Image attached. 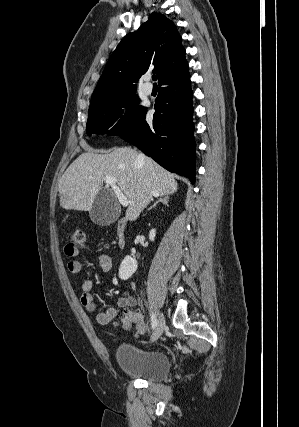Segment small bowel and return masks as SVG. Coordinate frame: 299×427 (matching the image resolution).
<instances>
[{
  "label": "small bowel",
  "instance_id": "1",
  "mask_svg": "<svg viewBox=\"0 0 299 427\" xmlns=\"http://www.w3.org/2000/svg\"><path fill=\"white\" fill-rule=\"evenodd\" d=\"M69 260L67 262L68 270L73 274H78L81 272L82 265L79 260L76 259L77 255L69 256ZM98 263L103 272H109L112 269V261L111 258L107 254H102L98 257ZM94 289L93 282L89 279H85L81 283L82 293L80 295V303L82 307L88 311L92 312L95 310V300L92 294ZM137 305V301L135 298L122 294L117 300V308H109L104 312H100L96 315V321L98 324L106 325L110 323L119 313L118 308L124 307H133ZM141 318V323L136 325V334L138 336L144 334L146 332V323L143 319L142 313H136Z\"/></svg>",
  "mask_w": 299,
  "mask_h": 427
}]
</instances>
